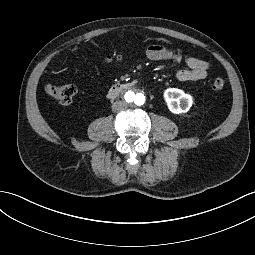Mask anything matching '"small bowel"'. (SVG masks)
Listing matches in <instances>:
<instances>
[{"mask_svg":"<svg viewBox=\"0 0 255 255\" xmlns=\"http://www.w3.org/2000/svg\"><path fill=\"white\" fill-rule=\"evenodd\" d=\"M145 55L152 61L184 62L186 69L177 72V78L183 82L203 80L208 74L209 63L207 61L191 56L183 58L181 54L163 45H149L146 48Z\"/></svg>","mask_w":255,"mask_h":255,"instance_id":"obj_1","label":"small bowel"}]
</instances>
